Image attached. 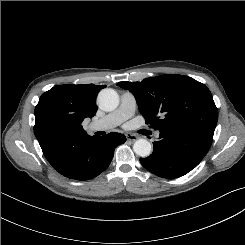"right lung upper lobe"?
Instances as JSON below:
<instances>
[{
	"mask_svg": "<svg viewBox=\"0 0 245 245\" xmlns=\"http://www.w3.org/2000/svg\"><path fill=\"white\" fill-rule=\"evenodd\" d=\"M106 85H57L43 93L35 107L34 133L51 165L67 143L90 137L81 123L97 111L96 96Z\"/></svg>",
	"mask_w": 245,
	"mask_h": 245,
	"instance_id": "obj_1",
	"label": "right lung upper lobe"
}]
</instances>
